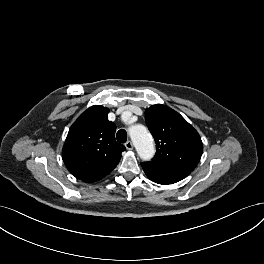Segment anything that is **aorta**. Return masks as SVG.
<instances>
[{"label": "aorta", "instance_id": "aorta-1", "mask_svg": "<svg viewBox=\"0 0 264 264\" xmlns=\"http://www.w3.org/2000/svg\"><path fill=\"white\" fill-rule=\"evenodd\" d=\"M129 135L139 157L144 161L152 159L155 154V145L147 128L143 125L131 126Z\"/></svg>", "mask_w": 264, "mask_h": 264}]
</instances>
